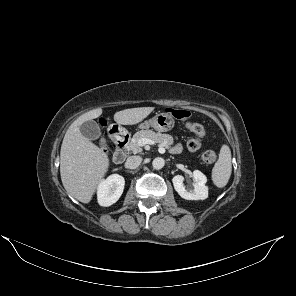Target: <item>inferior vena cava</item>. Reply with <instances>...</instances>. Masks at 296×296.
Masks as SVG:
<instances>
[{
    "mask_svg": "<svg viewBox=\"0 0 296 296\" xmlns=\"http://www.w3.org/2000/svg\"><path fill=\"white\" fill-rule=\"evenodd\" d=\"M142 163V157L141 156H130L127 158L126 165L130 169H135L139 167Z\"/></svg>",
    "mask_w": 296,
    "mask_h": 296,
    "instance_id": "1",
    "label": "inferior vena cava"
}]
</instances>
